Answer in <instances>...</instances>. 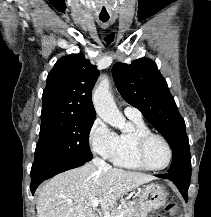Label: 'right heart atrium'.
<instances>
[{
    "instance_id": "d8ad5b80",
    "label": "right heart atrium",
    "mask_w": 211,
    "mask_h": 217,
    "mask_svg": "<svg viewBox=\"0 0 211 217\" xmlns=\"http://www.w3.org/2000/svg\"><path fill=\"white\" fill-rule=\"evenodd\" d=\"M118 135L101 119L92 123L88 139L91 149L104 159H111L117 146Z\"/></svg>"
}]
</instances>
